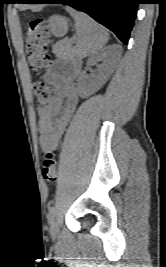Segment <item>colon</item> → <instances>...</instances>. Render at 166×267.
I'll return each mask as SVG.
<instances>
[{
    "instance_id": "1",
    "label": "colon",
    "mask_w": 166,
    "mask_h": 267,
    "mask_svg": "<svg viewBox=\"0 0 166 267\" xmlns=\"http://www.w3.org/2000/svg\"><path fill=\"white\" fill-rule=\"evenodd\" d=\"M50 44V28L44 19H33L25 33V48L29 64L33 70L40 71L49 66L47 49ZM33 93L40 107L50 105L56 98L55 90L42 80L32 85ZM42 176L48 183L57 180V162L53 153L48 152L42 164Z\"/></svg>"
}]
</instances>
